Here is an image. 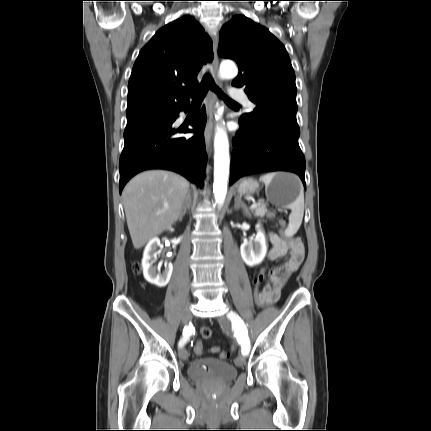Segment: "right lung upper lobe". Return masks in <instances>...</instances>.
Segmentation results:
<instances>
[{
	"mask_svg": "<svg viewBox=\"0 0 431 431\" xmlns=\"http://www.w3.org/2000/svg\"><path fill=\"white\" fill-rule=\"evenodd\" d=\"M212 41L184 16L157 31L140 51L128 83L127 122L172 112L189 104L203 64L212 61Z\"/></svg>",
	"mask_w": 431,
	"mask_h": 431,
	"instance_id": "right-lung-upper-lobe-1",
	"label": "right lung upper lobe"
}]
</instances>
